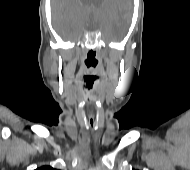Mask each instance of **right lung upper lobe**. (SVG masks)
Segmentation results:
<instances>
[{
	"instance_id": "1",
	"label": "right lung upper lobe",
	"mask_w": 190,
	"mask_h": 170,
	"mask_svg": "<svg viewBox=\"0 0 190 170\" xmlns=\"http://www.w3.org/2000/svg\"><path fill=\"white\" fill-rule=\"evenodd\" d=\"M36 170H57V169H54L51 166H42L37 168Z\"/></svg>"
}]
</instances>
